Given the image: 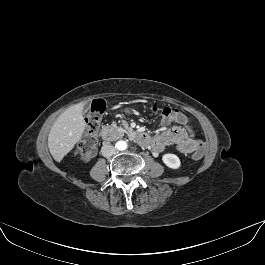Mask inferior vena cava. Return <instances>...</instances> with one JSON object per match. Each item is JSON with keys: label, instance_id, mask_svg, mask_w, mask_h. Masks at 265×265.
I'll return each mask as SVG.
<instances>
[{"label": "inferior vena cava", "instance_id": "obj_1", "mask_svg": "<svg viewBox=\"0 0 265 265\" xmlns=\"http://www.w3.org/2000/svg\"><path fill=\"white\" fill-rule=\"evenodd\" d=\"M116 152V148L112 145L109 144H105L102 146L101 148V153L104 157H111L112 155H114Z\"/></svg>", "mask_w": 265, "mask_h": 265}]
</instances>
